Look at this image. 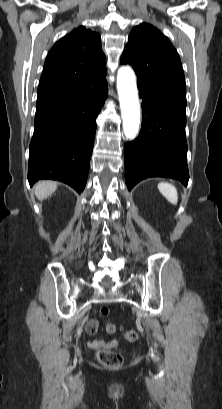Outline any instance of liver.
Here are the masks:
<instances>
[{"mask_svg":"<svg viewBox=\"0 0 222 409\" xmlns=\"http://www.w3.org/2000/svg\"><path fill=\"white\" fill-rule=\"evenodd\" d=\"M57 189V183L52 181H41L38 182L35 187V195L38 200H44L53 194Z\"/></svg>","mask_w":222,"mask_h":409,"instance_id":"obj_1","label":"liver"}]
</instances>
